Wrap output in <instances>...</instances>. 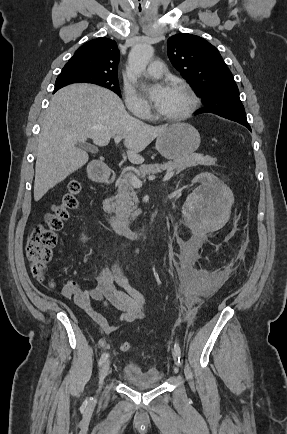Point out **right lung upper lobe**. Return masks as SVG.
<instances>
[{"mask_svg":"<svg viewBox=\"0 0 287 434\" xmlns=\"http://www.w3.org/2000/svg\"><path fill=\"white\" fill-rule=\"evenodd\" d=\"M120 52L114 40L100 37L81 46L64 68L94 75L117 77ZM56 86L54 92L60 89Z\"/></svg>","mask_w":287,"mask_h":434,"instance_id":"obj_1","label":"right lung upper lobe"}]
</instances>
